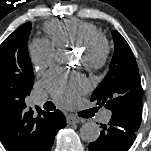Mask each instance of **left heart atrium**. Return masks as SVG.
I'll list each match as a JSON object with an SVG mask.
<instances>
[{"instance_id":"left-heart-atrium-1","label":"left heart atrium","mask_w":151,"mask_h":151,"mask_svg":"<svg viewBox=\"0 0 151 151\" xmlns=\"http://www.w3.org/2000/svg\"><path fill=\"white\" fill-rule=\"evenodd\" d=\"M44 85L52 96L62 104L71 103L78 94L87 89L86 79L79 74L52 71L44 79Z\"/></svg>"}]
</instances>
